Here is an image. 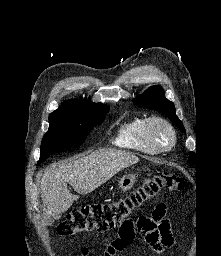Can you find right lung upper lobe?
Masks as SVG:
<instances>
[{"label":"right lung upper lobe","instance_id":"1","mask_svg":"<svg viewBox=\"0 0 221 256\" xmlns=\"http://www.w3.org/2000/svg\"><path fill=\"white\" fill-rule=\"evenodd\" d=\"M92 102L81 99L65 100L61 106L51 114H69L77 112L81 107L90 104Z\"/></svg>","mask_w":221,"mask_h":256}]
</instances>
